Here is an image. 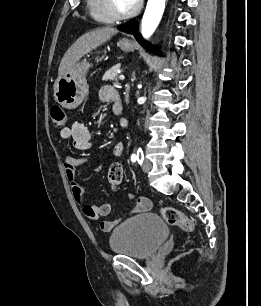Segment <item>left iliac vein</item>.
Returning <instances> with one entry per match:
<instances>
[{"instance_id":"obj_1","label":"left iliac vein","mask_w":261,"mask_h":306,"mask_svg":"<svg viewBox=\"0 0 261 306\" xmlns=\"http://www.w3.org/2000/svg\"><path fill=\"white\" fill-rule=\"evenodd\" d=\"M152 168V165H151V162L147 159H145L142 163V170L147 173L151 170Z\"/></svg>"}]
</instances>
